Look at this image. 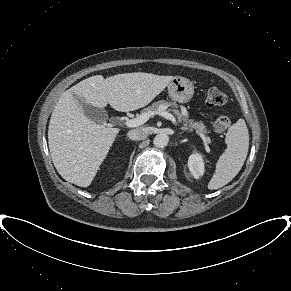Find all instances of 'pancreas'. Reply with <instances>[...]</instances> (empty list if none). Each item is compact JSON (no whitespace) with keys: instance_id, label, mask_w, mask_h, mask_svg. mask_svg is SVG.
Segmentation results:
<instances>
[{"instance_id":"pancreas-1","label":"pancreas","mask_w":291,"mask_h":291,"mask_svg":"<svg viewBox=\"0 0 291 291\" xmlns=\"http://www.w3.org/2000/svg\"><path fill=\"white\" fill-rule=\"evenodd\" d=\"M170 105L173 106H177L176 104H171L168 103L164 100L158 101L153 103L151 106H148L147 108H145L142 113H151V112H156L158 111L160 108L164 107L167 108ZM173 112L175 115H177L178 118V122L183 124L182 129L183 130H196V133L201 135V136H205L207 134V130H206V126L202 123V122H197L194 120H191L188 118V113L187 112H180L176 109H173Z\"/></svg>"}]
</instances>
